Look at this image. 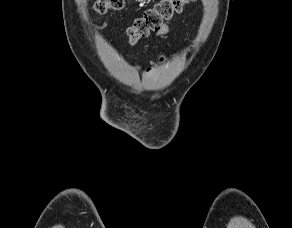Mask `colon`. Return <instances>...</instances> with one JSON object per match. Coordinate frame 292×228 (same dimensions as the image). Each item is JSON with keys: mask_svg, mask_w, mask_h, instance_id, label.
<instances>
[{"mask_svg": "<svg viewBox=\"0 0 292 228\" xmlns=\"http://www.w3.org/2000/svg\"><path fill=\"white\" fill-rule=\"evenodd\" d=\"M191 0H161L153 8L147 10L141 17L137 18L127 29V35L131 43L147 37L151 32L158 31L165 21L174 14L183 10ZM125 0H97L95 10L105 13L109 9L121 10Z\"/></svg>", "mask_w": 292, "mask_h": 228, "instance_id": "obj_1", "label": "colon"}]
</instances>
